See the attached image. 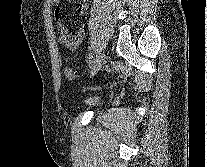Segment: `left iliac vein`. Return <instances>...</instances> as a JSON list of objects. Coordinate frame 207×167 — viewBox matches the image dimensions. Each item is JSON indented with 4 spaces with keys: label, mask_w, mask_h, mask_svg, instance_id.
Returning <instances> with one entry per match:
<instances>
[{
    "label": "left iliac vein",
    "mask_w": 207,
    "mask_h": 167,
    "mask_svg": "<svg viewBox=\"0 0 207 167\" xmlns=\"http://www.w3.org/2000/svg\"><path fill=\"white\" fill-rule=\"evenodd\" d=\"M106 63V55L104 52H99L92 64L91 74L94 75L97 73Z\"/></svg>",
    "instance_id": "left-iliac-vein-1"
}]
</instances>
